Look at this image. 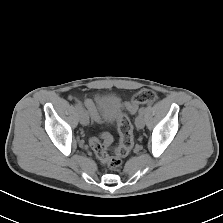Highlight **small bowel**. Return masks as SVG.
I'll return each instance as SVG.
<instances>
[{"label":"small bowel","mask_w":223,"mask_h":223,"mask_svg":"<svg viewBox=\"0 0 223 223\" xmlns=\"http://www.w3.org/2000/svg\"><path fill=\"white\" fill-rule=\"evenodd\" d=\"M99 98H100V96L96 95L94 97V99L87 98V99L83 100V105L87 109L92 120L98 124L103 122V115H102L100 107L98 105Z\"/></svg>","instance_id":"c3829d8e"}]
</instances>
